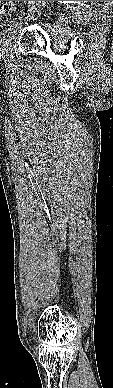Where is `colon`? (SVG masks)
Wrapping results in <instances>:
<instances>
[{
    "label": "colon",
    "mask_w": 113,
    "mask_h": 388,
    "mask_svg": "<svg viewBox=\"0 0 113 388\" xmlns=\"http://www.w3.org/2000/svg\"><path fill=\"white\" fill-rule=\"evenodd\" d=\"M13 12V1H6L0 3V14L11 15Z\"/></svg>",
    "instance_id": "1"
}]
</instances>
